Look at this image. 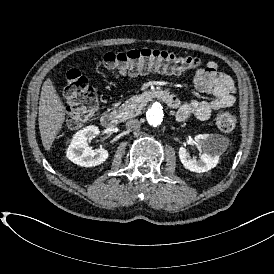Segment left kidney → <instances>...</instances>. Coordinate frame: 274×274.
I'll return each instance as SVG.
<instances>
[{"label":"left kidney","instance_id":"left-kidney-1","mask_svg":"<svg viewBox=\"0 0 274 274\" xmlns=\"http://www.w3.org/2000/svg\"><path fill=\"white\" fill-rule=\"evenodd\" d=\"M196 147L203 153L199 160L193 159L184 147L179 150V158L183 166L191 172L202 173L215 168L219 157L226 150L224 137L219 134H198L194 138Z\"/></svg>","mask_w":274,"mask_h":274}]
</instances>
